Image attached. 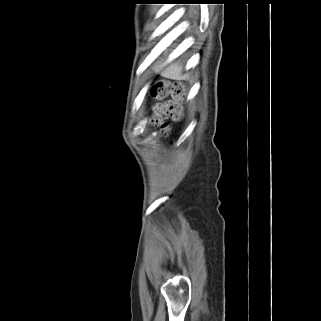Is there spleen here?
Listing matches in <instances>:
<instances>
[{
    "label": "spleen",
    "instance_id": "obj_1",
    "mask_svg": "<svg viewBox=\"0 0 321 321\" xmlns=\"http://www.w3.org/2000/svg\"><path fill=\"white\" fill-rule=\"evenodd\" d=\"M155 71H161V76L169 79L186 80L188 78V75L183 73L182 67L179 65V63H172L168 66H156Z\"/></svg>",
    "mask_w": 321,
    "mask_h": 321
}]
</instances>
